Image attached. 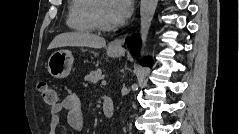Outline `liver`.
Segmentation results:
<instances>
[{"instance_id": "6515ba94", "label": "liver", "mask_w": 239, "mask_h": 134, "mask_svg": "<svg viewBox=\"0 0 239 134\" xmlns=\"http://www.w3.org/2000/svg\"><path fill=\"white\" fill-rule=\"evenodd\" d=\"M105 45V39L100 36L84 32H69L56 36L50 43L48 49L66 46L102 48Z\"/></svg>"}]
</instances>
